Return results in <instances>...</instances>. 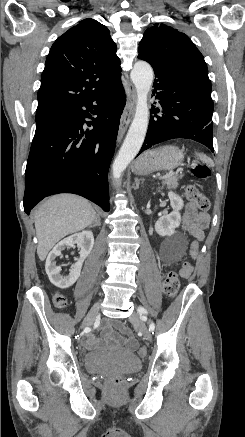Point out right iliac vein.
<instances>
[{"mask_svg":"<svg viewBox=\"0 0 245 437\" xmlns=\"http://www.w3.org/2000/svg\"><path fill=\"white\" fill-rule=\"evenodd\" d=\"M99 308H100V303L99 302L95 303L93 305V307L88 312L86 318L84 319L83 327L89 326V325H91L93 323V321H94V319H95V317H96V315H97V313L99 311Z\"/></svg>","mask_w":245,"mask_h":437,"instance_id":"1","label":"right iliac vein"}]
</instances>
